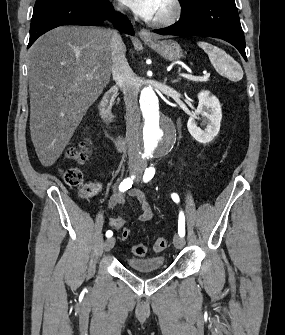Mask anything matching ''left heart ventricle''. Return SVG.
I'll return each instance as SVG.
<instances>
[{
	"mask_svg": "<svg viewBox=\"0 0 285 335\" xmlns=\"http://www.w3.org/2000/svg\"><path fill=\"white\" fill-rule=\"evenodd\" d=\"M157 3H158V7H159L157 18H159L164 13L165 1H157Z\"/></svg>",
	"mask_w": 285,
	"mask_h": 335,
	"instance_id": "1",
	"label": "left heart ventricle"
}]
</instances>
